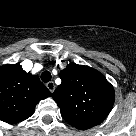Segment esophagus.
<instances>
[{"label":"esophagus","mask_w":136,"mask_h":136,"mask_svg":"<svg viewBox=\"0 0 136 136\" xmlns=\"http://www.w3.org/2000/svg\"><path fill=\"white\" fill-rule=\"evenodd\" d=\"M46 87H47L51 92H53V91L55 90V88H56V86H55V84H54L53 81L47 82V83H46Z\"/></svg>","instance_id":"esophagus-1"}]
</instances>
